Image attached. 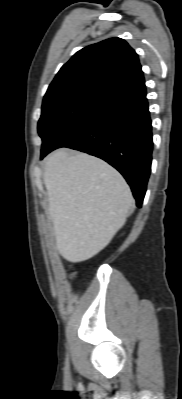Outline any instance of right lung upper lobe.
<instances>
[{"label": "right lung upper lobe", "instance_id": "right-lung-upper-lobe-1", "mask_svg": "<svg viewBox=\"0 0 182 399\" xmlns=\"http://www.w3.org/2000/svg\"><path fill=\"white\" fill-rule=\"evenodd\" d=\"M145 85L138 55L121 38H110L78 51L62 66L44 100L69 94L107 99Z\"/></svg>", "mask_w": 182, "mask_h": 399}]
</instances>
